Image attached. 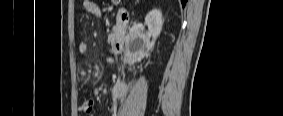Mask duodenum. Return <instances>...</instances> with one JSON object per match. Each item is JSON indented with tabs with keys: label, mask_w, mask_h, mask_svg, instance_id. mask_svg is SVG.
<instances>
[{
	"label": "duodenum",
	"mask_w": 283,
	"mask_h": 116,
	"mask_svg": "<svg viewBox=\"0 0 283 116\" xmlns=\"http://www.w3.org/2000/svg\"><path fill=\"white\" fill-rule=\"evenodd\" d=\"M129 19H130V13L126 8H119L117 10V15H116L117 35L112 44V51L115 54H120L125 49Z\"/></svg>",
	"instance_id": "1"
}]
</instances>
